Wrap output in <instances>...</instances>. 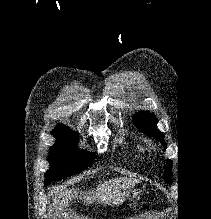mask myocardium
Returning <instances> with one entry per match:
<instances>
[{
    "label": "myocardium",
    "instance_id": "1",
    "mask_svg": "<svg viewBox=\"0 0 211 219\" xmlns=\"http://www.w3.org/2000/svg\"><path fill=\"white\" fill-rule=\"evenodd\" d=\"M149 149H150V150H153V149H154V147H153V146H150V147H149Z\"/></svg>",
    "mask_w": 211,
    "mask_h": 219
}]
</instances>
